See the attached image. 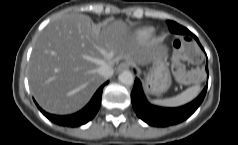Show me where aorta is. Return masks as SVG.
Instances as JSON below:
<instances>
[{"label":"aorta","mask_w":238,"mask_h":145,"mask_svg":"<svg viewBox=\"0 0 238 145\" xmlns=\"http://www.w3.org/2000/svg\"><path fill=\"white\" fill-rule=\"evenodd\" d=\"M118 80L124 85H132L134 83V76L129 70H124L119 74Z\"/></svg>","instance_id":"1"}]
</instances>
